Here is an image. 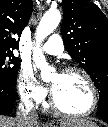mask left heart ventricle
I'll list each match as a JSON object with an SVG mask.
<instances>
[{
	"mask_svg": "<svg viewBox=\"0 0 108 127\" xmlns=\"http://www.w3.org/2000/svg\"><path fill=\"white\" fill-rule=\"evenodd\" d=\"M51 84L55 99L63 110L77 113L89 107L90 91L80 74H55L51 78Z\"/></svg>",
	"mask_w": 108,
	"mask_h": 127,
	"instance_id": "obj_1",
	"label": "left heart ventricle"
}]
</instances>
